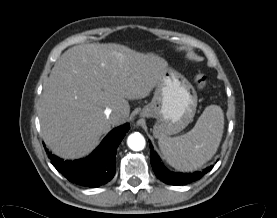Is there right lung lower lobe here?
I'll return each mask as SVG.
<instances>
[{
    "mask_svg": "<svg viewBox=\"0 0 277 218\" xmlns=\"http://www.w3.org/2000/svg\"><path fill=\"white\" fill-rule=\"evenodd\" d=\"M128 129L129 124L113 129L100 146L85 159L63 161L45 150L51 163L69 181L82 186L99 187L113 178L116 170V148Z\"/></svg>",
    "mask_w": 277,
    "mask_h": 218,
    "instance_id": "right-lung-lower-lobe-1",
    "label": "right lung lower lobe"
}]
</instances>
